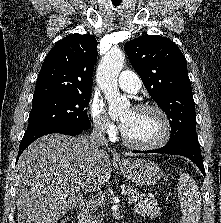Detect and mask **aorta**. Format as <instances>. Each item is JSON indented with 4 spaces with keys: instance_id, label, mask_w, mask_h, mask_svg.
<instances>
[{
    "instance_id": "762f6f07",
    "label": "aorta",
    "mask_w": 221,
    "mask_h": 223,
    "mask_svg": "<svg viewBox=\"0 0 221 223\" xmlns=\"http://www.w3.org/2000/svg\"><path fill=\"white\" fill-rule=\"evenodd\" d=\"M125 63V55L119 49L105 54L97 68L96 81L108 101L111 117L118 116L130 107L129 100L120 95L117 78Z\"/></svg>"
}]
</instances>
